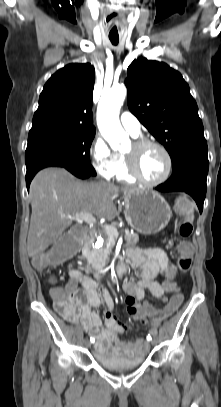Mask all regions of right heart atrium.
Here are the masks:
<instances>
[{
	"label": "right heart atrium",
	"instance_id": "right-heart-atrium-1",
	"mask_svg": "<svg viewBox=\"0 0 221 407\" xmlns=\"http://www.w3.org/2000/svg\"><path fill=\"white\" fill-rule=\"evenodd\" d=\"M90 157L93 167L105 178L116 175L120 164V155L111 150L106 141L97 136L90 147Z\"/></svg>",
	"mask_w": 221,
	"mask_h": 407
}]
</instances>
